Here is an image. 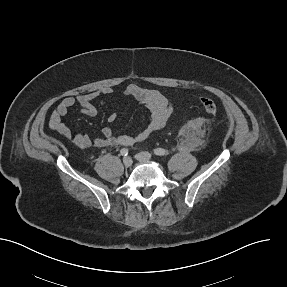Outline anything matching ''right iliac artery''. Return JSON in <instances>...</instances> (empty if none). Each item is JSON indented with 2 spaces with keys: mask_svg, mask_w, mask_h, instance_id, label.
Here are the masks:
<instances>
[{
  "mask_svg": "<svg viewBox=\"0 0 287 287\" xmlns=\"http://www.w3.org/2000/svg\"><path fill=\"white\" fill-rule=\"evenodd\" d=\"M128 153H129V151H128V149H126V148H123V149H121V151H120V154H121L122 156H127Z\"/></svg>",
  "mask_w": 287,
  "mask_h": 287,
  "instance_id": "obj_1",
  "label": "right iliac artery"
}]
</instances>
